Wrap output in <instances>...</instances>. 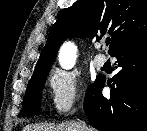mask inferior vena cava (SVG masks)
I'll return each mask as SVG.
<instances>
[{
	"label": "inferior vena cava",
	"instance_id": "1",
	"mask_svg": "<svg viewBox=\"0 0 147 131\" xmlns=\"http://www.w3.org/2000/svg\"><path fill=\"white\" fill-rule=\"evenodd\" d=\"M82 127H83L84 131H88L89 130L85 123L82 124Z\"/></svg>",
	"mask_w": 147,
	"mask_h": 131
}]
</instances>
